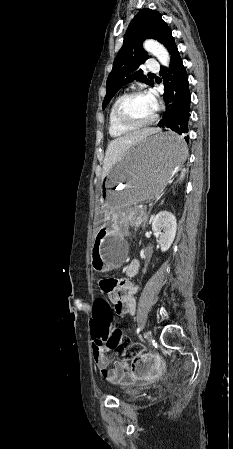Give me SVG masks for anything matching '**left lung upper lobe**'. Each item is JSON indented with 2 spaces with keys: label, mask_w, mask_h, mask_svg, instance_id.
<instances>
[{
  "label": "left lung upper lobe",
  "mask_w": 233,
  "mask_h": 449,
  "mask_svg": "<svg viewBox=\"0 0 233 449\" xmlns=\"http://www.w3.org/2000/svg\"><path fill=\"white\" fill-rule=\"evenodd\" d=\"M149 38L162 43L170 55L177 48L171 29L163 21L160 13L145 8L138 12L128 26L123 45L107 78L103 109L122 86L133 80L153 86L154 83L143 75L140 69V65L149 58L142 47L143 41Z\"/></svg>",
  "instance_id": "left-lung-upper-lobe-1"
}]
</instances>
